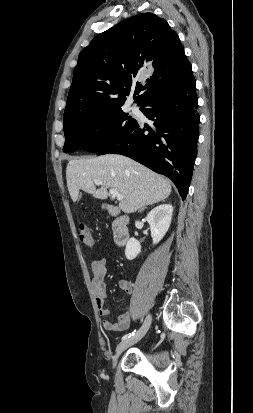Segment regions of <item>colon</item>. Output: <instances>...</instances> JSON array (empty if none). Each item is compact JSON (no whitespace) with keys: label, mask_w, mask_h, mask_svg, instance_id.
<instances>
[{"label":"colon","mask_w":253,"mask_h":413,"mask_svg":"<svg viewBox=\"0 0 253 413\" xmlns=\"http://www.w3.org/2000/svg\"><path fill=\"white\" fill-rule=\"evenodd\" d=\"M79 239L87 247H94V239L89 230V228L84 224L80 223L79 225Z\"/></svg>","instance_id":"5ec220e1"}]
</instances>
